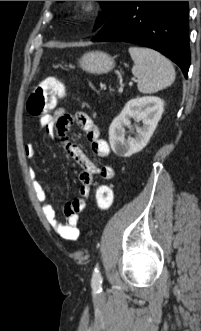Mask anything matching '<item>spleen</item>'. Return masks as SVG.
Instances as JSON below:
<instances>
[{
  "mask_svg": "<svg viewBox=\"0 0 201 331\" xmlns=\"http://www.w3.org/2000/svg\"><path fill=\"white\" fill-rule=\"evenodd\" d=\"M129 53L134 61L132 74L138 78V90L142 93H155L175 80L172 63L159 52L145 47L131 46Z\"/></svg>",
  "mask_w": 201,
  "mask_h": 331,
  "instance_id": "3e777b00",
  "label": "spleen"
}]
</instances>
